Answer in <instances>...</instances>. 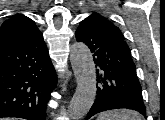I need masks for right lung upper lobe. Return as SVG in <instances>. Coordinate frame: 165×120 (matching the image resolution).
<instances>
[{
  "label": "right lung upper lobe",
  "mask_w": 165,
  "mask_h": 120,
  "mask_svg": "<svg viewBox=\"0 0 165 120\" xmlns=\"http://www.w3.org/2000/svg\"><path fill=\"white\" fill-rule=\"evenodd\" d=\"M34 21L30 18L16 14L6 20L0 29V49L14 45L20 41L40 35Z\"/></svg>",
  "instance_id": "right-lung-upper-lobe-1"
}]
</instances>
